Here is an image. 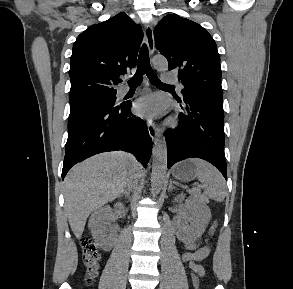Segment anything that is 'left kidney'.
Listing matches in <instances>:
<instances>
[{
    "instance_id": "left-kidney-1",
    "label": "left kidney",
    "mask_w": 293,
    "mask_h": 289,
    "mask_svg": "<svg viewBox=\"0 0 293 289\" xmlns=\"http://www.w3.org/2000/svg\"><path fill=\"white\" fill-rule=\"evenodd\" d=\"M178 200H184L183 194L175 199V201ZM185 206L186 213L183 216L184 222L177 228V237L182 242L190 243L196 241L202 236L210 221L211 211L205 203L191 199L186 200Z\"/></svg>"
}]
</instances>
